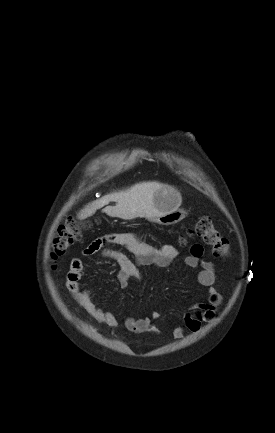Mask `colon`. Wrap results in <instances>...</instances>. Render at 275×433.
Wrapping results in <instances>:
<instances>
[{"mask_svg":"<svg viewBox=\"0 0 275 433\" xmlns=\"http://www.w3.org/2000/svg\"><path fill=\"white\" fill-rule=\"evenodd\" d=\"M84 226L89 227L90 223L86 222ZM191 234L200 237L208 244L215 256L226 257L229 254L228 240L219 233L210 217L203 216L199 218L195 222ZM79 235L80 227L75 219H69L62 224L54 235L52 257L57 258L64 255L75 243Z\"/></svg>","mask_w":275,"mask_h":433,"instance_id":"1","label":"colon"}]
</instances>
